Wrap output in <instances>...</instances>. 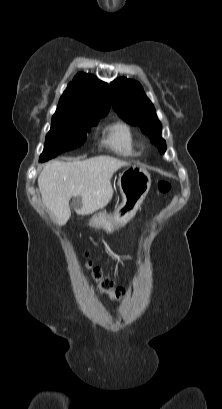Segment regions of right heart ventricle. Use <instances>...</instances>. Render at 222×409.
Instances as JSON below:
<instances>
[{"label": "right heart ventricle", "mask_w": 222, "mask_h": 409, "mask_svg": "<svg viewBox=\"0 0 222 409\" xmlns=\"http://www.w3.org/2000/svg\"><path fill=\"white\" fill-rule=\"evenodd\" d=\"M106 142L112 149L123 155L136 154L132 130L124 123H116L109 127Z\"/></svg>", "instance_id": "obj_1"}]
</instances>
